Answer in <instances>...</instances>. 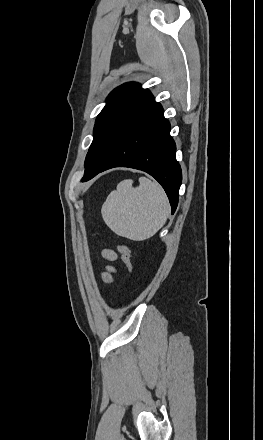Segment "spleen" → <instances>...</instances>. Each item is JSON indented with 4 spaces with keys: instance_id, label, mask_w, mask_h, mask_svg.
I'll use <instances>...</instances> for the list:
<instances>
[{
    "instance_id": "1",
    "label": "spleen",
    "mask_w": 263,
    "mask_h": 440,
    "mask_svg": "<svg viewBox=\"0 0 263 440\" xmlns=\"http://www.w3.org/2000/svg\"><path fill=\"white\" fill-rule=\"evenodd\" d=\"M117 185L102 206L101 214L106 225L117 235L142 241L155 235L165 224L170 205L163 188L146 177Z\"/></svg>"
}]
</instances>
